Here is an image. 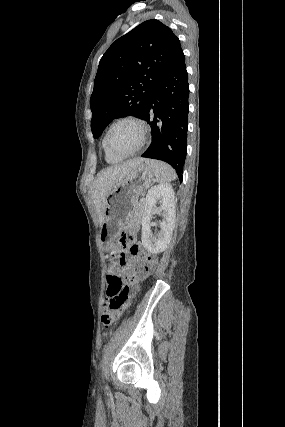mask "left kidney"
<instances>
[{
	"label": "left kidney",
	"mask_w": 285,
	"mask_h": 427,
	"mask_svg": "<svg viewBox=\"0 0 285 427\" xmlns=\"http://www.w3.org/2000/svg\"><path fill=\"white\" fill-rule=\"evenodd\" d=\"M175 197L174 190L170 184L164 183L152 187L144 202V213L142 216V244L150 253L163 252L170 243L175 225ZM160 202L158 210L162 212L160 222L161 231L153 235L151 231V212Z\"/></svg>",
	"instance_id": "5707ae66"
}]
</instances>
